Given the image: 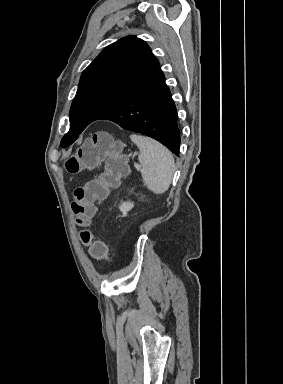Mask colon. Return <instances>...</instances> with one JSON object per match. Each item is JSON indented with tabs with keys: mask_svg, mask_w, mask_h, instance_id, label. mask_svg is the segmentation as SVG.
Listing matches in <instances>:
<instances>
[{
	"mask_svg": "<svg viewBox=\"0 0 283 384\" xmlns=\"http://www.w3.org/2000/svg\"><path fill=\"white\" fill-rule=\"evenodd\" d=\"M101 163H104L103 170L75 189L72 210L76 222L82 227L81 239L89 246L91 255L96 259L110 260L108 247L102 241H93L88 226L95 215V203L105 199L128 173V164L120 145L108 133L95 132L66 160L64 168L68 173L76 174Z\"/></svg>",
	"mask_w": 283,
	"mask_h": 384,
	"instance_id": "1",
	"label": "colon"
}]
</instances>
